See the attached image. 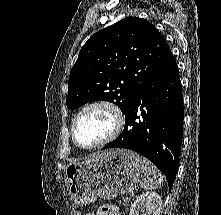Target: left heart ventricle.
Instances as JSON below:
<instances>
[{
    "label": "left heart ventricle",
    "mask_w": 221,
    "mask_h": 215,
    "mask_svg": "<svg viewBox=\"0 0 221 215\" xmlns=\"http://www.w3.org/2000/svg\"><path fill=\"white\" fill-rule=\"evenodd\" d=\"M114 126L110 111L103 107L87 110L76 125V137L83 146L96 144L108 136Z\"/></svg>",
    "instance_id": "obj_1"
}]
</instances>
